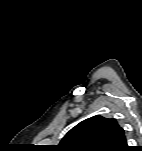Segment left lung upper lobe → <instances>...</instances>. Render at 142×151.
I'll return each mask as SVG.
<instances>
[{"label": "left lung upper lobe", "instance_id": "1", "mask_svg": "<svg viewBox=\"0 0 142 151\" xmlns=\"http://www.w3.org/2000/svg\"><path fill=\"white\" fill-rule=\"evenodd\" d=\"M59 147L66 151H127L123 128L116 119L93 116L72 128Z\"/></svg>", "mask_w": 142, "mask_h": 151}]
</instances>
